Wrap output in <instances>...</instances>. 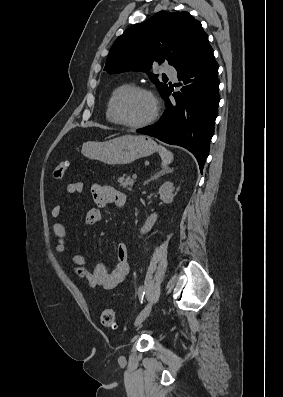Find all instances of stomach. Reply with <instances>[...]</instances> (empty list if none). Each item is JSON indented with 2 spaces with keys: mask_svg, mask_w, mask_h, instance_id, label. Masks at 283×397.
<instances>
[{
  "mask_svg": "<svg viewBox=\"0 0 283 397\" xmlns=\"http://www.w3.org/2000/svg\"><path fill=\"white\" fill-rule=\"evenodd\" d=\"M152 138L144 135H124L105 142L88 141L82 145V154L110 165H126L157 151Z\"/></svg>",
  "mask_w": 283,
  "mask_h": 397,
  "instance_id": "1",
  "label": "stomach"
}]
</instances>
